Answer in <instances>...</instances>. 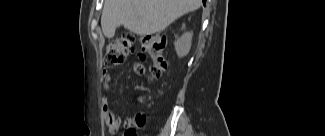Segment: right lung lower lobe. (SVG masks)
Wrapping results in <instances>:
<instances>
[{
    "label": "right lung lower lobe",
    "mask_w": 325,
    "mask_h": 136,
    "mask_svg": "<svg viewBox=\"0 0 325 136\" xmlns=\"http://www.w3.org/2000/svg\"><path fill=\"white\" fill-rule=\"evenodd\" d=\"M205 2H206V1H205V0H203V3H204V4H205Z\"/></svg>",
    "instance_id": "obj_1"
}]
</instances>
